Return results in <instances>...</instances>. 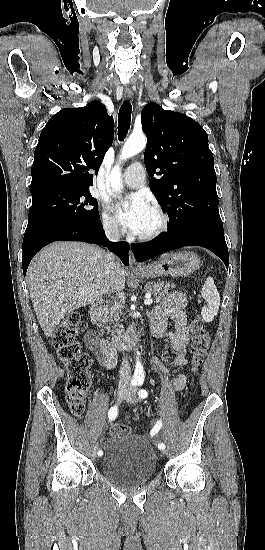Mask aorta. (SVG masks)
<instances>
[{"mask_svg": "<svg viewBox=\"0 0 265 550\" xmlns=\"http://www.w3.org/2000/svg\"><path fill=\"white\" fill-rule=\"evenodd\" d=\"M146 143H147V139L144 134H132L127 139L126 143L124 144L121 150L120 160H126L138 154L145 148ZM110 184L115 193L121 192L122 190L121 171L118 165L114 167V169L112 170ZM137 355H139L138 351H137ZM135 373L138 375H143L144 373L143 366L138 357L136 359Z\"/></svg>", "mask_w": 265, "mask_h": 550, "instance_id": "1", "label": "aorta"}]
</instances>
